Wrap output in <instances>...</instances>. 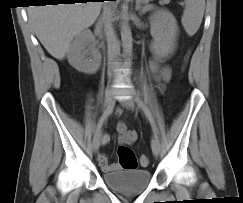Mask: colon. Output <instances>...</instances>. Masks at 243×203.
I'll list each match as a JSON object with an SVG mask.
<instances>
[{
  "instance_id": "colon-1",
  "label": "colon",
  "mask_w": 243,
  "mask_h": 203,
  "mask_svg": "<svg viewBox=\"0 0 243 203\" xmlns=\"http://www.w3.org/2000/svg\"><path fill=\"white\" fill-rule=\"evenodd\" d=\"M189 55L185 58V63L188 60ZM117 155L119 158L120 165L125 170H133L138 166V161L133 153V151L126 145H120L117 149ZM142 166H147L149 164V159L146 156H142L139 160Z\"/></svg>"
}]
</instances>
